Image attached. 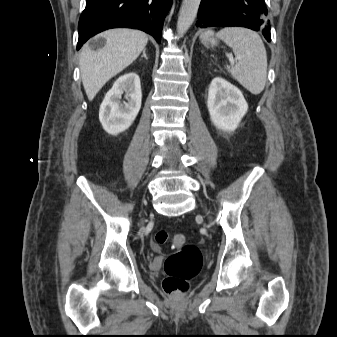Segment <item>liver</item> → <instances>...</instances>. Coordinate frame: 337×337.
<instances>
[{
	"instance_id": "liver-1",
	"label": "liver",
	"mask_w": 337,
	"mask_h": 337,
	"mask_svg": "<svg viewBox=\"0 0 337 337\" xmlns=\"http://www.w3.org/2000/svg\"><path fill=\"white\" fill-rule=\"evenodd\" d=\"M99 37L106 39L104 47L94 51L88 44L84 45L79 63L82 83L90 101L107 81L138 58L148 42L146 33L125 28L104 31L96 38Z\"/></svg>"
}]
</instances>
